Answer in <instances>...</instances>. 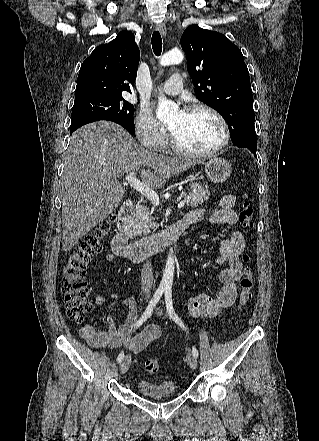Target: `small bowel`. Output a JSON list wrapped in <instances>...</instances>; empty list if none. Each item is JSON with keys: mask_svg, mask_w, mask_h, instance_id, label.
Segmentation results:
<instances>
[{"mask_svg": "<svg viewBox=\"0 0 319 441\" xmlns=\"http://www.w3.org/2000/svg\"><path fill=\"white\" fill-rule=\"evenodd\" d=\"M236 197L234 195H225L220 199L217 210H215L208 218V222L212 225H230L234 226L238 223V216L235 211ZM205 215L202 208L194 209L186 214L182 222L187 227L200 222ZM245 248V239L239 230L233 231L227 238L220 243L219 256L215 262L224 267L218 273V279L222 284L215 296L206 293L199 294L188 300V309L194 317H217L223 310L232 306L237 297V281L241 278L242 262L240 256ZM111 261L113 256H109ZM105 298L102 295L94 297L96 305H102ZM116 304H122L127 309V314L121 325H116L114 318L108 315V325L106 329L99 331L93 326L83 325L79 333L83 339L93 347L119 348L126 346L134 353L144 350L149 344L157 340L161 335V330L157 325H148L140 333L132 336L135 320L137 317L136 300L127 296L118 302L109 305L112 308Z\"/></svg>", "mask_w": 319, "mask_h": 441, "instance_id": "c3829d8e", "label": "small bowel"}]
</instances>
